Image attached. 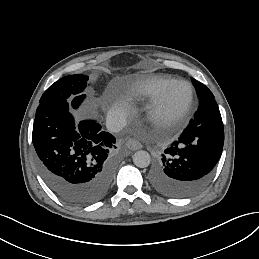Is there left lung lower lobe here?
<instances>
[{
  "label": "left lung lower lobe",
  "mask_w": 259,
  "mask_h": 259,
  "mask_svg": "<svg viewBox=\"0 0 259 259\" xmlns=\"http://www.w3.org/2000/svg\"><path fill=\"white\" fill-rule=\"evenodd\" d=\"M224 144L221 114L214 98L199 102L198 111L152 169L149 181L160 194L184 198L202 190L211 178Z\"/></svg>",
  "instance_id": "obj_1"
}]
</instances>
